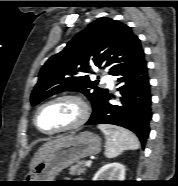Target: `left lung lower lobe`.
Returning a JSON list of instances; mask_svg holds the SVG:
<instances>
[{
	"label": "left lung lower lobe",
	"instance_id": "obj_1",
	"mask_svg": "<svg viewBox=\"0 0 178 186\" xmlns=\"http://www.w3.org/2000/svg\"><path fill=\"white\" fill-rule=\"evenodd\" d=\"M115 77L122 84L118 88L122 95L121 105L110 104L111 95L107 91L86 125L113 124L127 128L137 135L142 145H145L152 118L150 84L145 58L123 69Z\"/></svg>",
	"mask_w": 178,
	"mask_h": 186
}]
</instances>
